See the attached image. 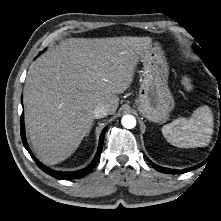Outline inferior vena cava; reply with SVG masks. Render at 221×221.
I'll use <instances>...</instances> for the list:
<instances>
[{
	"label": "inferior vena cava",
	"mask_w": 221,
	"mask_h": 221,
	"mask_svg": "<svg viewBox=\"0 0 221 221\" xmlns=\"http://www.w3.org/2000/svg\"><path fill=\"white\" fill-rule=\"evenodd\" d=\"M109 114V109L104 104L97 105L93 110V116L96 119L106 117Z\"/></svg>",
	"instance_id": "obj_1"
}]
</instances>
